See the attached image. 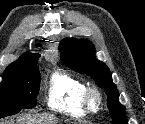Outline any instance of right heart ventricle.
<instances>
[{
    "mask_svg": "<svg viewBox=\"0 0 145 124\" xmlns=\"http://www.w3.org/2000/svg\"><path fill=\"white\" fill-rule=\"evenodd\" d=\"M88 85L80 77L65 71L53 72L48 81L47 104L71 117L86 115L83 98Z\"/></svg>",
    "mask_w": 145,
    "mask_h": 124,
    "instance_id": "1",
    "label": "right heart ventricle"
}]
</instances>
